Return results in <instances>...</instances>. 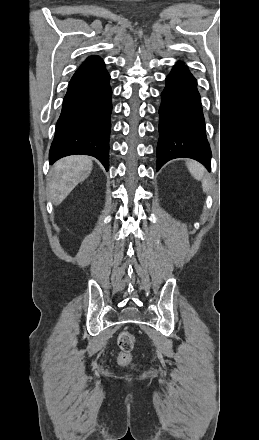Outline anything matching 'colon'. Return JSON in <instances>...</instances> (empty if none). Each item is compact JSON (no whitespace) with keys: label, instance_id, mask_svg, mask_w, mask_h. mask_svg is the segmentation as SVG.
<instances>
[{"label":"colon","instance_id":"obj_1","mask_svg":"<svg viewBox=\"0 0 259 440\" xmlns=\"http://www.w3.org/2000/svg\"><path fill=\"white\" fill-rule=\"evenodd\" d=\"M135 336L127 331L123 330L118 335V346L120 352L118 354V363L122 366H129L132 363L131 353L135 346Z\"/></svg>","mask_w":259,"mask_h":440}]
</instances>
